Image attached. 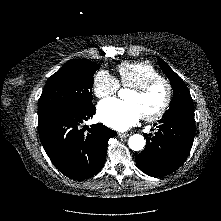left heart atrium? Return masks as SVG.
Wrapping results in <instances>:
<instances>
[{
  "instance_id": "left-heart-atrium-1",
  "label": "left heart atrium",
  "mask_w": 221,
  "mask_h": 221,
  "mask_svg": "<svg viewBox=\"0 0 221 221\" xmlns=\"http://www.w3.org/2000/svg\"><path fill=\"white\" fill-rule=\"evenodd\" d=\"M97 115L101 122L118 131L127 130L142 116L134 103L114 98L101 101L97 107Z\"/></svg>"
}]
</instances>
